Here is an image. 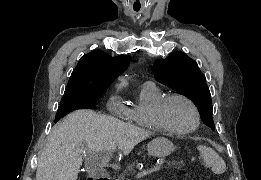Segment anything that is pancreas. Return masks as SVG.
I'll return each mask as SVG.
<instances>
[{"mask_svg": "<svg viewBox=\"0 0 261 180\" xmlns=\"http://www.w3.org/2000/svg\"><path fill=\"white\" fill-rule=\"evenodd\" d=\"M137 160L134 162H130L126 169L120 171L119 180H125V176H130V174L134 173V167L136 166ZM168 164L166 166L167 170H183L187 163H184L182 159H168Z\"/></svg>", "mask_w": 261, "mask_h": 180, "instance_id": "pancreas-1", "label": "pancreas"}]
</instances>
